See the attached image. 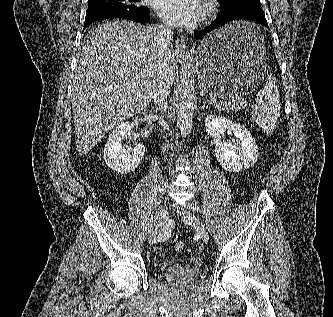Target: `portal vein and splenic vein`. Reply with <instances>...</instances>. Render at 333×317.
<instances>
[{
    "mask_svg": "<svg viewBox=\"0 0 333 317\" xmlns=\"http://www.w3.org/2000/svg\"><path fill=\"white\" fill-rule=\"evenodd\" d=\"M214 103H216V101H215ZM239 103H240V104H246L247 102L244 101V100H242V101H240Z\"/></svg>",
    "mask_w": 333,
    "mask_h": 317,
    "instance_id": "obj_1",
    "label": "portal vein and splenic vein"
}]
</instances>
